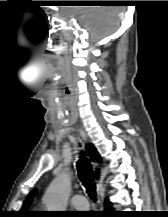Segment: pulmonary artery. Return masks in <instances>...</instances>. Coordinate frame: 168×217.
<instances>
[{"mask_svg": "<svg viewBox=\"0 0 168 217\" xmlns=\"http://www.w3.org/2000/svg\"><path fill=\"white\" fill-rule=\"evenodd\" d=\"M70 202L77 210H84L88 208L87 200L83 194L73 195Z\"/></svg>", "mask_w": 168, "mask_h": 217, "instance_id": "1", "label": "pulmonary artery"}]
</instances>
